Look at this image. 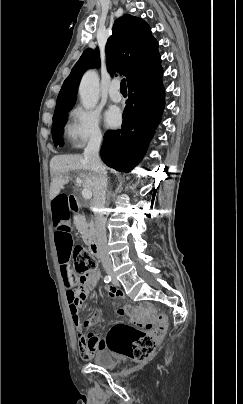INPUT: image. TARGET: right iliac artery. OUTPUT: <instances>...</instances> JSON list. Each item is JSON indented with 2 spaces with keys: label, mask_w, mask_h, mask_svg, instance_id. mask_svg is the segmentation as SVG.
<instances>
[{
  "label": "right iliac artery",
  "mask_w": 243,
  "mask_h": 404,
  "mask_svg": "<svg viewBox=\"0 0 243 404\" xmlns=\"http://www.w3.org/2000/svg\"><path fill=\"white\" fill-rule=\"evenodd\" d=\"M111 281V277L110 276H105L104 277V282L105 283H109Z\"/></svg>",
  "instance_id": "1"
}]
</instances>
